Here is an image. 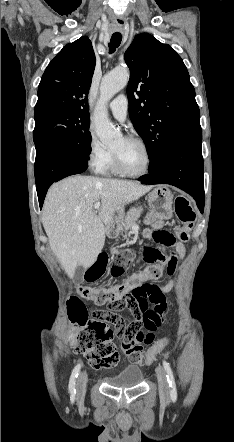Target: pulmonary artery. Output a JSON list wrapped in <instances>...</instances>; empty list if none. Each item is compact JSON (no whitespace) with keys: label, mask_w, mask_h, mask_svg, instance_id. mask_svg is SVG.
Segmentation results:
<instances>
[{"label":"pulmonary artery","mask_w":234,"mask_h":442,"mask_svg":"<svg viewBox=\"0 0 234 442\" xmlns=\"http://www.w3.org/2000/svg\"><path fill=\"white\" fill-rule=\"evenodd\" d=\"M109 108L116 119L124 121L128 111V99L125 95H119L109 103Z\"/></svg>","instance_id":"1"}]
</instances>
